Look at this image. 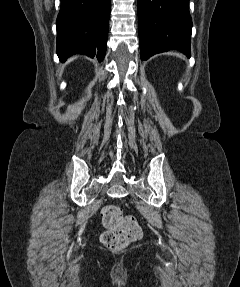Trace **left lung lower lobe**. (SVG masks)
<instances>
[{
  "mask_svg": "<svg viewBox=\"0 0 240 287\" xmlns=\"http://www.w3.org/2000/svg\"><path fill=\"white\" fill-rule=\"evenodd\" d=\"M189 0H138L140 55L177 49L190 56L192 20Z\"/></svg>",
  "mask_w": 240,
  "mask_h": 287,
  "instance_id": "left-lung-lower-lobe-1",
  "label": "left lung lower lobe"
}]
</instances>
